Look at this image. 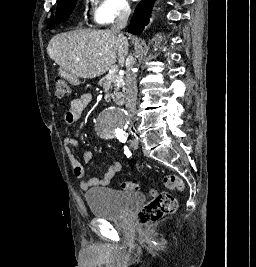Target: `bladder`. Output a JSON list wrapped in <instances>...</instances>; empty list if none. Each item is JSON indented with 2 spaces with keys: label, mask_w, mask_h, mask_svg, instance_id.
Listing matches in <instances>:
<instances>
[{
  "label": "bladder",
  "mask_w": 256,
  "mask_h": 267,
  "mask_svg": "<svg viewBox=\"0 0 256 267\" xmlns=\"http://www.w3.org/2000/svg\"><path fill=\"white\" fill-rule=\"evenodd\" d=\"M85 197L91 214L103 219L122 218L145 203L144 195H123L119 190L108 188L92 189Z\"/></svg>",
  "instance_id": "1"
}]
</instances>
